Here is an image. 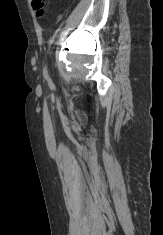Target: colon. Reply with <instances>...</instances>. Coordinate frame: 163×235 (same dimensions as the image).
Instances as JSON below:
<instances>
[{"mask_svg":"<svg viewBox=\"0 0 163 235\" xmlns=\"http://www.w3.org/2000/svg\"><path fill=\"white\" fill-rule=\"evenodd\" d=\"M47 0H31L32 6L38 16H42L45 11Z\"/></svg>","mask_w":163,"mask_h":235,"instance_id":"5ec220e1","label":"colon"}]
</instances>
